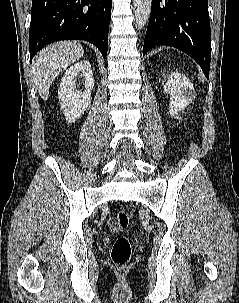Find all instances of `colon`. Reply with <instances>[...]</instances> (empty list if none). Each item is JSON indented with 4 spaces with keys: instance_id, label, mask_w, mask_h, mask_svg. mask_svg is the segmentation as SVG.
I'll list each match as a JSON object with an SVG mask.
<instances>
[{
    "instance_id": "5ec220e1",
    "label": "colon",
    "mask_w": 239,
    "mask_h": 303,
    "mask_svg": "<svg viewBox=\"0 0 239 303\" xmlns=\"http://www.w3.org/2000/svg\"><path fill=\"white\" fill-rule=\"evenodd\" d=\"M116 226L118 228L124 229L129 225V216L125 211H118L115 216ZM132 254V247L129 239L125 236L118 237L111 250V260L116 267L123 268L125 267L130 259Z\"/></svg>"
}]
</instances>
